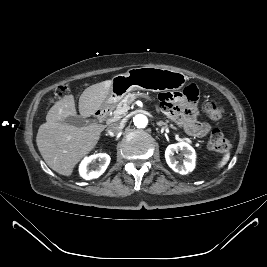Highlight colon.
Segmentation results:
<instances>
[{"mask_svg": "<svg viewBox=\"0 0 267 267\" xmlns=\"http://www.w3.org/2000/svg\"><path fill=\"white\" fill-rule=\"evenodd\" d=\"M67 92L66 86H60L57 88L54 98H63ZM203 109L207 116L215 122L220 121L224 114L223 108L215 102L205 103ZM208 147L214 152L223 154L230 149L231 143L219 129H214L209 137Z\"/></svg>", "mask_w": 267, "mask_h": 267, "instance_id": "colon-1", "label": "colon"}]
</instances>
